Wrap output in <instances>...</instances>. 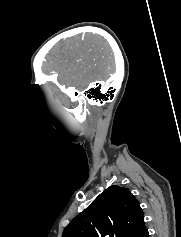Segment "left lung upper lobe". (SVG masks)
Returning <instances> with one entry per match:
<instances>
[{"label":"left lung upper lobe","mask_w":181,"mask_h":237,"mask_svg":"<svg viewBox=\"0 0 181 237\" xmlns=\"http://www.w3.org/2000/svg\"><path fill=\"white\" fill-rule=\"evenodd\" d=\"M144 230L135 196L128 188L112 185L68 224L62 237H138Z\"/></svg>","instance_id":"obj_1"}]
</instances>
